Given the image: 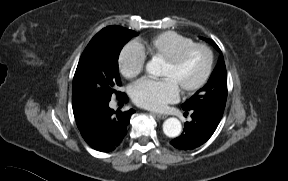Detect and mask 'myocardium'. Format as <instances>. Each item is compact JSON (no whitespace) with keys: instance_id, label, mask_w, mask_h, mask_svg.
Here are the masks:
<instances>
[{"instance_id":"1","label":"myocardium","mask_w":288,"mask_h":181,"mask_svg":"<svg viewBox=\"0 0 288 181\" xmlns=\"http://www.w3.org/2000/svg\"><path fill=\"white\" fill-rule=\"evenodd\" d=\"M194 49H202L203 51H205V53L207 54V65H206V69H205L204 74L202 75V77L200 78V80L198 82H196L195 84H193L190 87H187V88L181 90L182 93H184V94H191V93H194V92L200 90L203 86H205V84L210 79L212 71H213V67H214L213 50L207 44L192 43L186 47L181 48L176 53H174L172 56L163 60V62L169 66H176L177 64H179L184 59V57L188 53H190Z\"/></svg>"}]
</instances>
